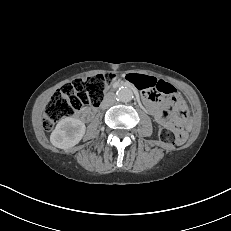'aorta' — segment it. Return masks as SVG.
<instances>
[{
	"label": "aorta",
	"mask_w": 231,
	"mask_h": 231,
	"mask_svg": "<svg viewBox=\"0 0 231 231\" xmlns=\"http://www.w3.org/2000/svg\"><path fill=\"white\" fill-rule=\"evenodd\" d=\"M116 97L119 101L127 103L130 102L133 99V92L131 89L127 87L119 88V90L116 93Z\"/></svg>",
	"instance_id": "obj_1"
}]
</instances>
